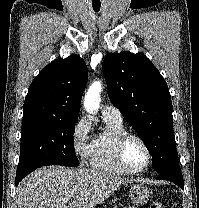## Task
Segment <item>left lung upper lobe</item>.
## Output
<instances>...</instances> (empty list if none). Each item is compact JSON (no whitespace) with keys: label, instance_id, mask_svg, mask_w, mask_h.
<instances>
[{"label":"left lung upper lobe","instance_id":"left-lung-upper-lobe-1","mask_svg":"<svg viewBox=\"0 0 199 208\" xmlns=\"http://www.w3.org/2000/svg\"><path fill=\"white\" fill-rule=\"evenodd\" d=\"M102 70L111 103L145 142L155 171L178 158L173 131L172 102L160 72L142 53H109Z\"/></svg>","mask_w":199,"mask_h":208}]
</instances>
